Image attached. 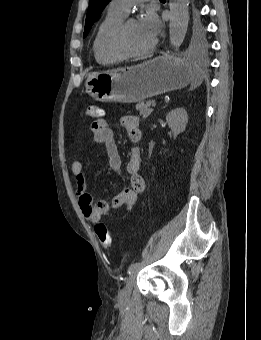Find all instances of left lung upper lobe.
<instances>
[{
    "instance_id": "obj_1",
    "label": "left lung upper lobe",
    "mask_w": 261,
    "mask_h": 340,
    "mask_svg": "<svg viewBox=\"0 0 261 340\" xmlns=\"http://www.w3.org/2000/svg\"><path fill=\"white\" fill-rule=\"evenodd\" d=\"M110 1L111 0H90L83 38L87 36L92 25L99 18L103 9ZM190 42L195 47H204L206 43L204 26L200 20L197 10L194 11L193 17L191 19Z\"/></svg>"
}]
</instances>
